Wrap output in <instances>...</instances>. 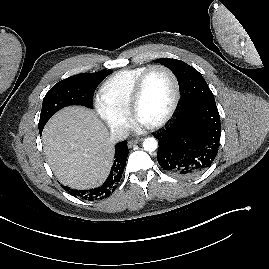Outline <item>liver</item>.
Wrapping results in <instances>:
<instances>
[{
  "label": "liver",
  "instance_id": "6515ba94",
  "mask_svg": "<svg viewBox=\"0 0 269 269\" xmlns=\"http://www.w3.org/2000/svg\"><path fill=\"white\" fill-rule=\"evenodd\" d=\"M42 141L48 163L62 184L91 188L108 175L114 149L93 111L76 106L59 111L44 128Z\"/></svg>",
  "mask_w": 269,
  "mask_h": 269
}]
</instances>
